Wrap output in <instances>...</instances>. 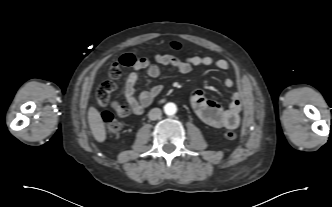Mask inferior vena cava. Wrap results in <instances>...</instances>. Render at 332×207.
<instances>
[{
	"instance_id": "inferior-vena-cava-1",
	"label": "inferior vena cava",
	"mask_w": 332,
	"mask_h": 207,
	"mask_svg": "<svg viewBox=\"0 0 332 207\" xmlns=\"http://www.w3.org/2000/svg\"><path fill=\"white\" fill-rule=\"evenodd\" d=\"M161 115H162V112L159 108H153L148 113V117L151 120H157V119L161 118Z\"/></svg>"
}]
</instances>
